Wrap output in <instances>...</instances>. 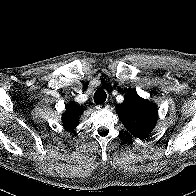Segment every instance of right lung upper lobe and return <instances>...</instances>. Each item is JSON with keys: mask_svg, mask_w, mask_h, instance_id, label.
<instances>
[{"mask_svg": "<svg viewBox=\"0 0 196 196\" xmlns=\"http://www.w3.org/2000/svg\"><path fill=\"white\" fill-rule=\"evenodd\" d=\"M72 112V110L67 108L65 114L63 115L62 121L67 127H71L73 124L72 117H74V114Z\"/></svg>", "mask_w": 196, "mask_h": 196, "instance_id": "obj_1", "label": "right lung upper lobe"}]
</instances>
